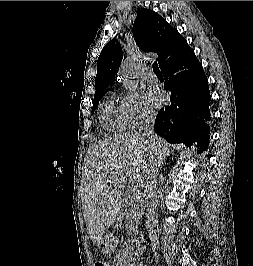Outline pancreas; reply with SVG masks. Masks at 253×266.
Returning <instances> with one entry per match:
<instances>
[{
  "instance_id": "cf45deb5",
  "label": "pancreas",
  "mask_w": 253,
  "mask_h": 266,
  "mask_svg": "<svg viewBox=\"0 0 253 266\" xmlns=\"http://www.w3.org/2000/svg\"><path fill=\"white\" fill-rule=\"evenodd\" d=\"M139 193L132 194L130 196V201L128 202L127 206L130 207L127 210V222L130 228H136L140 217H141V212L139 210Z\"/></svg>"
}]
</instances>
